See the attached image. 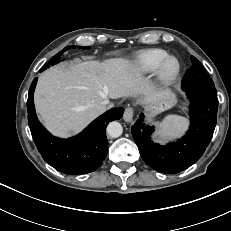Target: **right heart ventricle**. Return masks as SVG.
Returning a JSON list of instances; mask_svg holds the SVG:
<instances>
[{
    "label": "right heart ventricle",
    "instance_id": "1",
    "mask_svg": "<svg viewBox=\"0 0 231 231\" xmlns=\"http://www.w3.org/2000/svg\"><path fill=\"white\" fill-rule=\"evenodd\" d=\"M166 56H168V52L161 48L142 50L131 61V73L136 77H146L155 72Z\"/></svg>",
    "mask_w": 231,
    "mask_h": 231
}]
</instances>
